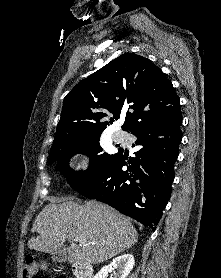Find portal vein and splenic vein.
Listing matches in <instances>:
<instances>
[{
    "label": "portal vein and splenic vein",
    "instance_id": "obj_1",
    "mask_svg": "<svg viewBox=\"0 0 221 278\" xmlns=\"http://www.w3.org/2000/svg\"><path fill=\"white\" fill-rule=\"evenodd\" d=\"M75 241L81 243V244H84L86 241L85 240H82V239H79L78 237L75 238Z\"/></svg>",
    "mask_w": 221,
    "mask_h": 278
}]
</instances>
